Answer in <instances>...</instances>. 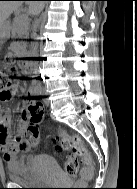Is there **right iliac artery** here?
Instances as JSON below:
<instances>
[{
  "instance_id": "1",
  "label": "right iliac artery",
  "mask_w": 137,
  "mask_h": 189,
  "mask_svg": "<svg viewBox=\"0 0 137 189\" xmlns=\"http://www.w3.org/2000/svg\"><path fill=\"white\" fill-rule=\"evenodd\" d=\"M35 93H36L37 95H41V90H40L39 88H37V89L35 90Z\"/></svg>"
}]
</instances>
